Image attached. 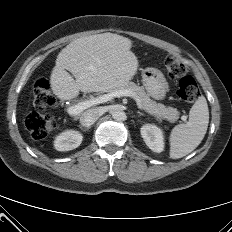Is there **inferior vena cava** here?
Segmentation results:
<instances>
[{
	"instance_id": "602c4592",
	"label": "inferior vena cava",
	"mask_w": 232,
	"mask_h": 232,
	"mask_svg": "<svg viewBox=\"0 0 232 232\" xmlns=\"http://www.w3.org/2000/svg\"><path fill=\"white\" fill-rule=\"evenodd\" d=\"M102 114L103 112L99 108L89 109L82 113L80 117V123L85 127H90Z\"/></svg>"
}]
</instances>
